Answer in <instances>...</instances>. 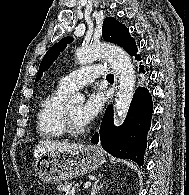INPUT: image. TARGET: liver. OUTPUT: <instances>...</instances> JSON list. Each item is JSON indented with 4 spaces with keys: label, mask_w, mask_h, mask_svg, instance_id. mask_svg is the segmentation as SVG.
<instances>
[{
    "label": "liver",
    "mask_w": 189,
    "mask_h": 195,
    "mask_svg": "<svg viewBox=\"0 0 189 195\" xmlns=\"http://www.w3.org/2000/svg\"><path fill=\"white\" fill-rule=\"evenodd\" d=\"M85 146L83 144H68L64 142L42 140L34 149V156L39 158L44 154L59 151V152H72L77 151Z\"/></svg>",
    "instance_id": "1"
}]
</instances>
